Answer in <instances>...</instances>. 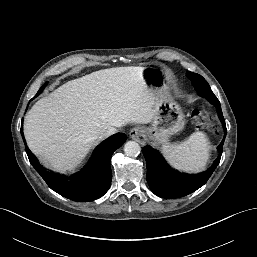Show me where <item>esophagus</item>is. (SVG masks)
<instances>
[{
	"mask_svg": "<svg viewBox=\"0 0 257 257\" xmlns=\"http://www.w3.org/2000/svg\"><path fill=\"white\" fill-rule=\"evenodd\" d=\"M129 135L133 140L137 141L138 143H145V134L144 130L141 127H134L130 130Z\"/></svg>",
	"mask_w": 257,
	"mask_h": 257,
	"instance_id": "esophagus-1",
	"label": "esophagus"
}]
</instances>
